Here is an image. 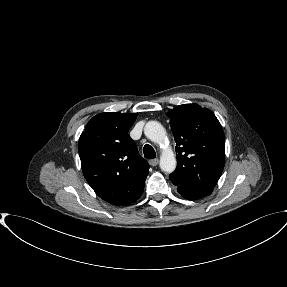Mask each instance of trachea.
<instances>
[{
    "label": "trachea",
    "mask_w": 287,
    "mask_h": 287,
    "mask_svg": "<svg viewBox=\"0 0 287 287\" xmlns=\"http://www.w3.org/2000/svg\"><path fill=\"white\" fill-rule=\"evenodd\" d=\"M144 157L146 159H154L156 157V152L153 147L149 144H146L143 148Z\"/></svg>",
    "instance_id": "trachea-1"
}]
</instances>
